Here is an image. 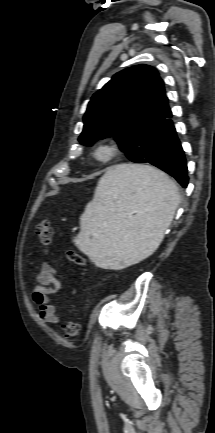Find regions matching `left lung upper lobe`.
Here are the masks:
<instances>
[{
  "label": "left lung upper lobe",
  "instance_id": "obj_1",
  "mask_svg": "<svg viewBox=\"0 0 215 433\" xmlns=\"http://www.w3.org/2000/svg\"><path fill=\"white\" fill-rule=\"evenodd\" d=\"M172 113L156 69L138 65L124 69L97 91L84 115L81 144L114 136L136 163L155 165Z\"/></svg>",
  "mask_w": 215,
  "mask_h": 433
}]
</instances>
